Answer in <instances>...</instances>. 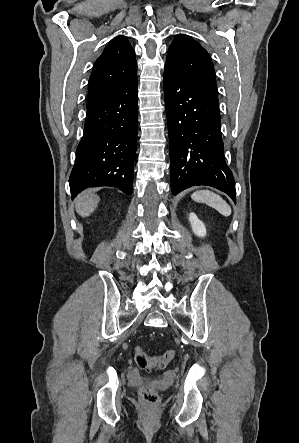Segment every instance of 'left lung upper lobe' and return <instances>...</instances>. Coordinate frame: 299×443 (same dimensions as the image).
Wrapping results in <instances>:
<instances>
[{
  "mask_svg": "<svg viewBox=\"0 0 299 443\" xmlns=\"http://www.w3.org/2000/svg\"><path fill=\"white\" fill-rule=\"evenodd\" d=\"M165 66L218 99L215 71L207 51L185 34H178L167 53Z\"/></svg>",
  "mask_w": 299,
  "mask_h": 443,
  "instance_id": "left-lung-upper-lobe-1",
  "label": "left lung upper lobe"
}]
</instances>
